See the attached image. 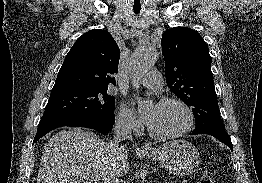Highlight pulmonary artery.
<instances>
[{
	"label": "pulmonary artery",
	"mask_w": 262,
	"mask_h": 183,
	"mask_svg": "<svg viewBox=\"0 0 262 183\" xmlns=\"http://www.w3.org/2000/svg\"><path fill=\"white\" fill-rule=\"evenodd\" d=\"M140 83L150 89L158 90L163 86V79L161 77V74L158 71L153 70L147 73L140 80Z\"/></svg>",
	"instance_id": "e3ab8cb5"
}]
</instances>
